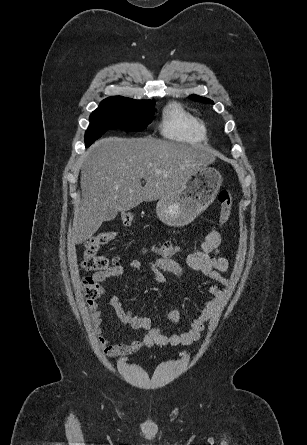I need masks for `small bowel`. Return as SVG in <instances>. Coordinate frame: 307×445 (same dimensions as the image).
<instances>
[{"mask_svg":"<svg viewBox=\"0 0 307 445\" xmlns=\"http://www.w3.org/2000/svg\"><path fill=\"white\" fill-rule=\"evenodd\" d=\"M221 243L222 236L219 229L216 226H212L201 243L200 248L190 253L187 256L186 262L193 272L200 273L210 281L225 284L226 279L222 274L229 270L230 265L226 258L220 256ZM129 267L136 271L143 269L142 263L137 259H132L129 262ZM147 270L156 280H160L163 273H170L180 279L184 278L183 267L175 260L169 258H159L148 262ZM124 273L125 269L121 265H114L105 271L96 272L92 278L98 286L100 296L104 293L102 287L103 282L109 278L121 277ZM219 284H209L207 289L212 296L211 299L203 303L200 312L191 320L186 328L180 333L169 335L164 334L159 328L152 327L149 318L133 314L130 309L122 305L117 296H113L109 304L116 316L131 328L142 330L144 337L142 340H133L129 343L115 342L106 338L101 334L103 323L101 311L96 306H93L91 317L95 330L98 333V342L104 353L111 358L132 355L143 346L189 345L200 338L205 323L211 318L224 295V290ZM168 317L172 322H177L179 313L177 310H174L169 313Z\"/></svg>","mask_w":307,"mask_h":445,"instance_id":"obj_1","label":"small bowel"}]
</instances>
